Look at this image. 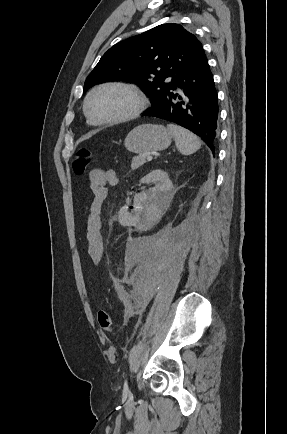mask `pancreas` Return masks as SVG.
Instances as JSON below:
<instances>
[{"label": "pancreas", "instance_id": "pancreas-1", "mask_svg": "<svg viewBox=\"0 0 287 434\" xmlns=\"http://www.w3.org/2000/svg\"><path fill=\"white\" fill-rule=\"evenodd\" d=\"M145 156L144 155H138L133 157L131 161V169L136 170L139 167H141L145 163Z\"/></svg>", "mask_w": 287, "mask_h": 434}]
</instances>
